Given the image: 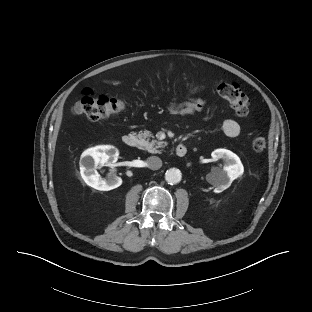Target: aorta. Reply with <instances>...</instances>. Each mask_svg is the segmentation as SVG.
I'll list each match as a JSON object with an SVG mask.
<instances>
[{"label": "aorta", "instance_id": "762f6f07", "mask_svg": "<svg viewBox=\"0 0 312 312\" xmlns=\"http://www.w3.org/2000/svg\"><path fill=\"white\" fill-rule=\"evenodd\" d=\"M182 179V173L177 168H170L165 173V180L168 184H177Z\"/></svg>", "mask_w": 312, "mask_h": 312}]
</instances>
